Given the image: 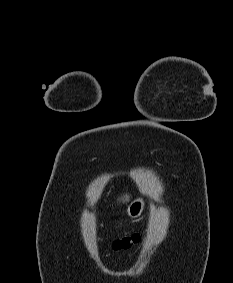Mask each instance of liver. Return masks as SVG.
Segmentation results:
<instances>
[{
    "instance_id": "6515ba94",
    "label": "liver",
    "mask_w": 233,
    "mask_h": 283,
    "mask_svg": "<svg viewBox=\"0 0 233 283\" xmlns=\"http://www.w3.org/2000/svg\"><path fill=\"white\" fill-rule=\"evenodd\" d=\"M126 201H128V196H126V199H125Z\"/></svg>"
}]
</instances>
